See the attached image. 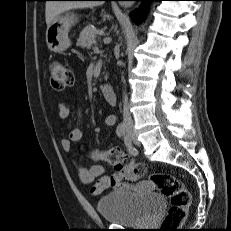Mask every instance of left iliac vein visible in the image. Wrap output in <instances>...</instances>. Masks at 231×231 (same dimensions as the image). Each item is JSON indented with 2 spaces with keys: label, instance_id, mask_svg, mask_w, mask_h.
<instances>
[{
  "label": "left iliac vein",
  "instance_id": "1",
  "mask_svg": "<svg viewBox=\"0 0 231 231\" xmlns=\"http://www.w3.org/2000/svg\"><path fill=\"white\" fill-rule=\"evenodd\" d=\"M129 135L131 137V140L133 141V143L136 145V146H140V142L139 140L137 139L135 133L133 131H130L129 132Z\"/></svg>",
  "mask_w": 231,
  "mask_h": 231
}]
</instances>
